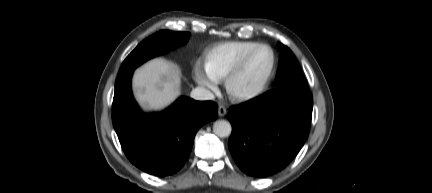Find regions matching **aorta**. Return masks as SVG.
Wrapping results in <instances>:
<instances>
[{
    "mask_svg": "<svg viewBox=\"0 0 432 193\" xmlns=\"http://www.w3.org/2000/svg\"><path fill=\"white\" fill-rule=\"evenodd\" d=\"M231 124L226 120H217L213 124V132L221 138L228 137L231 134Z\"/></svg>",
    "mask_w": 432,
    "mask_h": 193,
    "instance_id": "762f6f07",
    "label": "aorta"
}]
</instances>
